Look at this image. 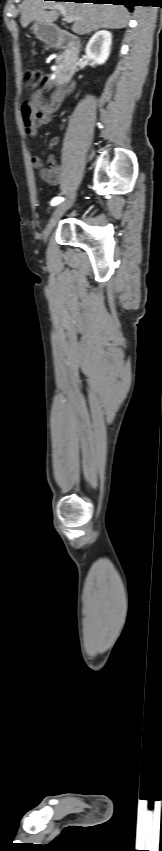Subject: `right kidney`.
<instances>
[{"label": "right kidney", "mask_w": 162, "mask_h": 851, "mask_svg": "<svg viewBox=\"0 0 162 851\" xmlns=\"http://www.w3.org/2000/svg\"><path fill=\"white\" fill-rule=\"evenodd\" d=\"M112 35L109 31L96 32L87 43L85 52L89 59L97 64H103L110 54Z\"/></svg>", "instance_id": "right-kidney-1"}]
</instances>
